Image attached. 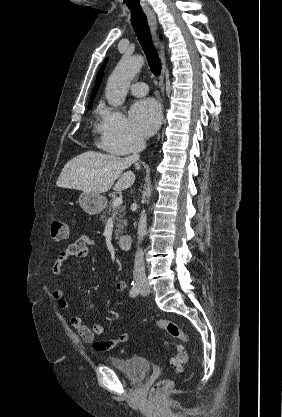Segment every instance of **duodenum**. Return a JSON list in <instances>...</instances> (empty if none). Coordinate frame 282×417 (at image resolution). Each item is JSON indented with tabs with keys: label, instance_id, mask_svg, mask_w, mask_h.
I'll list each match as a JSON object with an SVG mask.
<instances>
[{
	"label": "duodenum",
	"instance_id": "obj_1",
	"mask_svg": "<svg viewBox=\"0 0 282 417\" xmlns=\"http://www.w3.org/2000/svg\"><path fill=\"white\" fill-rule=\"evenodd\" d=\"M117 241L121 249L127 250L130 246L131 236L128 234L121 235L118 237Z\"/></svg>",
	"mask_w": 282,
	"mask_h": 417
}]
</instances>
